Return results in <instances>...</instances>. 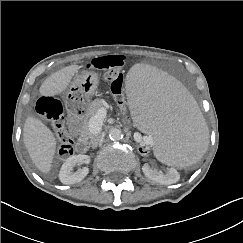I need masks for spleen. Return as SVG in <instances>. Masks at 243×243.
<instances>
[{
	"label": "spleen",
	"instance_id": "3e777b00",
	"mask_svg": "<svg viewBox=\"0 0 243 243\" xmlns=\"http://www.w3.org/2000/svg\"><path fill=\"white\" fill-rule=\"evenodd\" d=\"M130 113L155 146L165 165L195 164L209 144V132L190 96L169 75L148 65L134 67L126 78Z\"/></svg>",
	"mask_w": 243,
	"mask_h": 243
}]
</instances>
